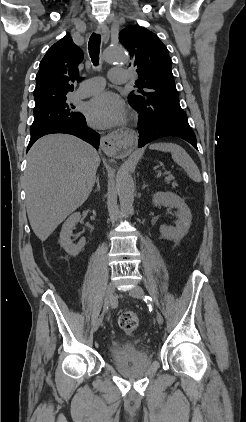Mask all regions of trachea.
<instances>
[{"mask_svg": "<svg viewBox=\"0 0 246 422\" xmlns=\"http://www.w3.org/2000/svg\"><path fill=\"white\" fill-rule=\"evenodd\" d=\"M100 43L101 36L99 34L93 33L89 39L88 49L94 66L99 64Z\"/></svg>", "mask_w": 246, "mask_h": 422, "instance_id": "3493384b", "label": "trachea"}]
</instances>
